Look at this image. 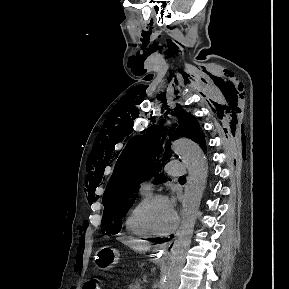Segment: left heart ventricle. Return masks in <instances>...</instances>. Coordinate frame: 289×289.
<instances>
[{"label":"left heart ventricle","mask_w":289,"mask_h":289,"mask_svg":"<svg viewBox=\"0 0 289 289\" xmlns=\"http://www.w3.org/2000/svg\"><path fill=\"white\" fill-rule=\"evenodd\" d=\"M174 219V214L169 210L167 200L157 201L151 210V222L159 230H167Z\"/></svg>","instance_id":"b2bd125f"}]
</instances>
